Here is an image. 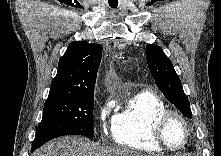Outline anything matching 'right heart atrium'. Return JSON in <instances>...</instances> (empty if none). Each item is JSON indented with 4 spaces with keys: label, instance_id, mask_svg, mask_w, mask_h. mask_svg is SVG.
Returning a JSON list of instances; mask_svg holds the SVG:
<instances>
[{
    "label": "right heart atrium",
    "instance_id": "d8ad5b80",
    "mask_svg": "<svg viewBox=\"0 0 221 156\" xmlns=\"http://www.w3.org/2000/svg\"><path fill=\"white\" fill-rule=\"evenodd\" d=\"M113 104L111 101H106L99 111V122L102 130H106L108 124H112L114 116H112Z\"/></svg>",
    "mask_w": 221,
    "mask_h": 156
}]
</instances>
